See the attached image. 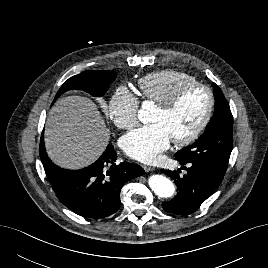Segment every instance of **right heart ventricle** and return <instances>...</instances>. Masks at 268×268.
<instances>
[{
  "label": "right heart ventricle",
  "instance_id": "right-heart-ventricle-1",
  "mask_svg": "<svg viewBox=\"0 0 268 268\" xmlns=\"http://www.w3.org/2000/svg\"><path fill=\"white\" fill-rule=\"evenodd\" d=\"M196 79L180 70L164 69L149 73L137 82L141 98L156 105L167 101L181 85Z\"/></svg>",
  "mask_w": 268,
  "mask_h": 268
}]
</instances>
